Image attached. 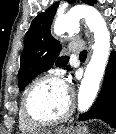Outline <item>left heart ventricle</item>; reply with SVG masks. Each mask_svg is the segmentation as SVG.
Segmentation results:
<instances>
[{"mask_svg": "<svg viewBox=\"0 0 116 134\" xmlns=\"http://www.w3.org/2000/svg\"><path fill=\"white\" fill-rule=\"evenodd\" d=\"M70 94L63 83L47 81L39 85L31 94L29 109L38 118L61 116L68 108Z\"/></svg>", "mask_w": 116, "mask_h": 134, "instance_id": "b2bd125f", "label": "left heart ventricle"}]
</instances>
